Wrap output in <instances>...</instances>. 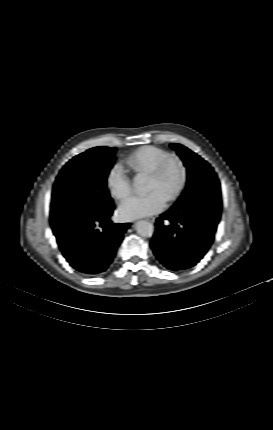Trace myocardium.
Wrapping results in <instances>:
<instances>
[{
    "label": "myocardium",
    "instance_id": "f54148a6",
    "mask_svg": "<svg viewBox=\"0 0 273 430\" xmlns=\"http://www.w3.org/2000/svg\"><path fill=\"white\" fill-rule=\"evenodd\" d=\"M171 167H176L179 170V179L176 186L169 192L166 197V200L170 203L176 201L186 187L188 180V171L185 163L179 157L171 155L166 158L153 172L149 174L150 177L157 180H161L164 178V176Z\"/></svg>",
    "mask_w": 273,
    "mask_h": 430
}]
</instances>
